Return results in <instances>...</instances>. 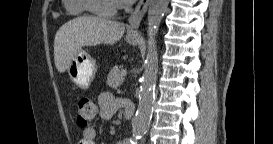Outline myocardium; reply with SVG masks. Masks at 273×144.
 <instances>
[{
    "mask_svg": "<svg viewBox=\"0 0 273 144\" xmlns=\"http://www.w3.org/2000/svg\"><path fill=\"white\" fill-rule=\"evenodd\" d=\"M84 7L86 11L96 14V15H112L117 12L118 6L113 5L108 8H103L99 5V0H84Z\"/></svg>",
    "mask_w": 273,
    "mask_h": 144,
    "instance_id": "f54148a6",
    "label": "myocardium"
}]
</instances>
